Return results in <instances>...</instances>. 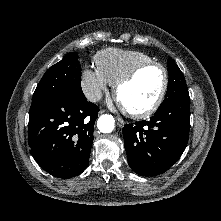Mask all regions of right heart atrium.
I'll return each instance as SVG.
<instances>
[{
	"mask_svg": "<svg viewBox=\"0 0 221 221\" xmlns=\"http://www.w3.org/2000/svg\"><path fill=\"white\" fill-rule=\"evenodd\" d=\"M108 85H110L108 81L96 69L86 68L82 72L80 87L83 95L89 101L99 99Z\"/></svg>",
	"mask_w": 221,
	"mask_h": 221,
	"instance_id": "right-heart-atrium-1",
	"label": "right heart atrium"
}]
</instances>
